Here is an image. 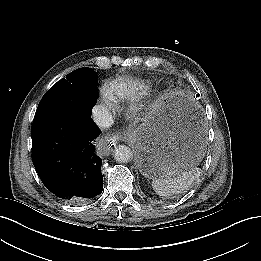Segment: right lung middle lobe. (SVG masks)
Segmentation results:
<instances>
[{
  "instance_id": "1",
  "label": "right lung middle lobe",
  "mask_w": 261,
  "mask_h": 261,
  "mask_svg": "<svg viewBox=\"0 0 261 261\" xmlns=\"http://www.w3.org/2000/svg\"><path fill=\"white\" fill-rule=\"evenodd\" d=\"M97 75L80 68L58 81L40 101L33 125L65 118L79 110L92 111L98 97Z\"/></svg>"
}]
</instances>
